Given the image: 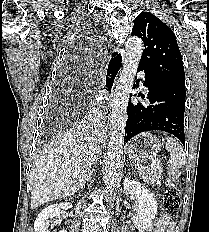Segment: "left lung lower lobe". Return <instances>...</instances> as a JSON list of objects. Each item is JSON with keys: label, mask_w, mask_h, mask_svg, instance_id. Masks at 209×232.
Wrapping results in <instances>:
<instances>
[{"label": "left lung lower lobe", "mask_w": 209, "mask_h": 232, "mask_svg": "<svg viewBox=\"0 0 209 232\" xmlns=\"http://www.w3.org/2000/svg\"><path fill=\"white\" fill-rule=\"evenodd\" d=\"M138 71L145 72L143 85L149 90L146 96L148 101L147 104H133L131 101L128 103L124 145L139 133L160 130L174 135L185 146V88L160 81L142 66L138 67ZM139 82L140 80H136L133 87L137 88Z\"/></svg>", "instance_id": "left-lung-lower-lobe-1"}]
</instances>
